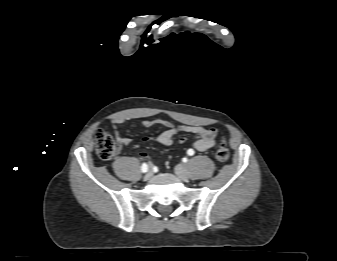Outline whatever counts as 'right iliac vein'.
Listing matches in <instances>:
<instances>
[{
  "label": "right iliac vein",
  "instance_id": "63e3f726",
  "mask_svg": "<svg viewBox=\"0 0 337 261\" xmlns=\"http://www.w3.org/2000/svg\"><path fill=\"white\" fill-rule=\"evenodd\" d=\"M153 175V172H152V170L150 169L149 171H148V173L145 175V180H148V179H150L151 178V176Z\"/></svg>",
  "mask_w": 337,
  "mask_h": 261
}]
</instances>
